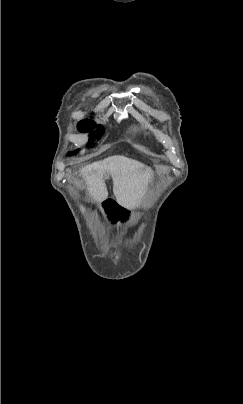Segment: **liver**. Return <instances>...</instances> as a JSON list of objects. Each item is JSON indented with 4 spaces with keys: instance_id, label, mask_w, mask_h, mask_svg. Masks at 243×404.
Instances as JSON below:
<instances>
[{
    "instance_id": "liver-1",
    "label": "liver",
    "mask_w": 243,
    "mask_h": 404,
    "mask_svg": "<svg viewBox=\"0 0 243 404\" xmlns=\"http://www.w3.org/2000/svg\"><path fill=\"white\" fill-rule=\"evenodd\" d=\"M80 172L95 202H103L108 198L104 176L109 172L113 180L114 196L118 204L128 210L142 206L148 184L153 178L151 168L125 156H111L102 162L88 164Z\"/></svg>"
}]
</instances>
